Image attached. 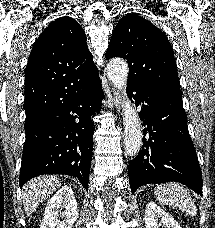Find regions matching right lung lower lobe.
<instances>
[{
    "instance_id": "right-lung-lower-lobe-1",
    "label": "right lung lower lobe",
    "mask_w": 215,
    "mask_h": 228,
    "mask_svg": "<svg viewBox=\"0 0 215 228\" xmlns=\"http://www.w3.org/2000/svg\"><path fill=\"white\" fill-rule=\"evenodd\" d=\"M104 94L98 73L71 89L61 106L24 125L26 141L20 187L43 174H66L79 179L88 191L93 150V116Z\"/></svg>"
}]
</instances>
